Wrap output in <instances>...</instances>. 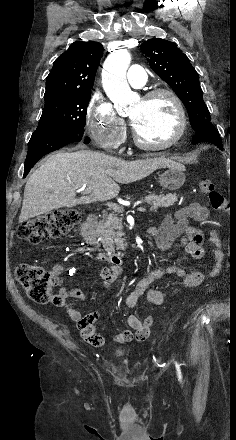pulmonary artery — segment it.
<instances>
[{
  "label": "pulmonary artery",
  "instance_id": "obj_1",
  "mask_svg": "<svg viewBox=\"0 0 236 440\" xmlns=\"http://www.w3.org/2000/svg\"><path fill=\"white\" fill-rule=\"evenodd\" d=\"M128 82L132 87H142L147 80V72L140 65H132L128 70Z\"/></svg>",
  "mask_w": 236,
  "mask_h": 440
}]
</instances>
